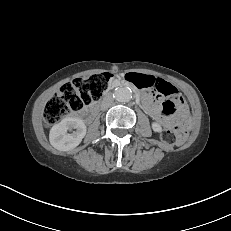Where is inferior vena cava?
<instances>
[{
  "label": "inferior vena cava",
  "instance_id": "602c4592",
  "mask_svg": "<svg viewBox=\"0 0 231 231\" xmlns=\"http://www.w3.org/2000/svg\"><path fill=\"white\" fill-rule=\"evenodd\" d=\"M112 104H113V98L111 96H106L102 101L101 109L105 110V109L111 107Z\"/></svg>",
  "mask_w": 231,
  "mask_h": 231
}]
</instances>
